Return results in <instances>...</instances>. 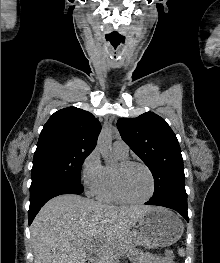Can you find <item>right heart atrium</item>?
<instances>
[{
    "label": "right heart atrium",
    "instance_id": "right-heart-atrium-1",
    "mask_svg": "<svg viewBox=\"0 0 220 263\" xmlns=\"http://www.w3.org/2000/svg\"><path fill=\"white\" fill-rule=\"evenodd\" d=\"M103 165L99 151L92 150L81 165V181L89 195H95L103 179Z\"/></svg>",
    "mask_w": 220,
    "mask_h": 263
}]
</instances>
